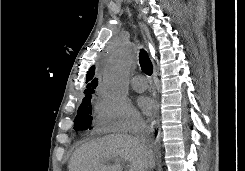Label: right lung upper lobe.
<instances>
[{
    "label": "right lung upper lobe",
    "mask_w": 245,
    "mask_h": 171,
    "mask_svg": "<svg viewBox=\"0 0 245 171\" xmlns=\"http://www.w3.org/2000/svg\"><path fill=\"white\" fill-rule=\"evenodd\" d=\"M94 70L95 67L92 66L87 72L86 82H88V84L87 89L84 91L86 97L91 96V94L94 92V88H96V86L98 85L97 78H94Z\"/></svg>",
    "instance_id": "cb5924a9"
}]
</instances>
